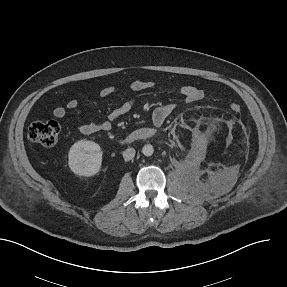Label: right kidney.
<instances>
[{
  "instance_id": "obj_1",
  "label": "right kidney",
  "mask_w": 287,
  "mask_h": 287,
  "mask_svg": "<svg viewBox=\"0 0 287 287\" xmlns=\"http://www.w3.org/2000/svg\"><path fill=\"white\" fill-rule=\"evenodd\" d=\"M68 165L74 174L90 177L97 174L102 164V151L99 144L80 140L74 143L68 153Z\"/></svg>"
}]
</instances>
